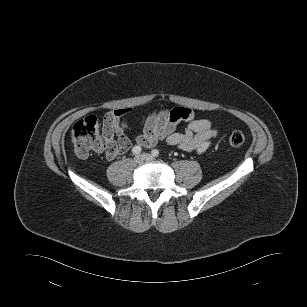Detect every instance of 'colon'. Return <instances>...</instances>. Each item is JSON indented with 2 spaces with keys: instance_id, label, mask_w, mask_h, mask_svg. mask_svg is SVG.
<instances>
[{
  "instance_id": "obj_1",
  "label": "colon",
  "mask_w": 307,
  "mask_h": 307,
  "mask_svg": "<svg viewBox=\"0 0 307 307\" xmlns=\"http://www.w3.org/2000/svg\"><path fill=\"white\" fill-rule=\"evenodd\" d=\"M101 129L100 121L96 116H88L77 121L71 131V138L76 154L81 158H86L91 152L103 151L107 148L103 127ZM119 125L122 129L126 128V122L121 117ZM245 142V136L240 131L233 132L228 137V144L231 147H239Z\"/></svg>"
}]
</instances>
